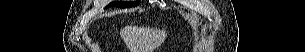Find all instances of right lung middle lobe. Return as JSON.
<instances>
[{"instance_id": "1", "label": "right lung middle lobe", "mask_w": 305, "mask_h": 52, "mask_svg": "<svg viewBox=\"0 0 305 52\" xmlns=\"http://www.w3.org/2000/svg\"><path fill=\"white\" fill-rule=\"evenodd\" d=\"M139 2H112L110 3L107 7L110 6H118V7H123V8H127V7H133L135 5H137Z\"/></svg>"}]
</instances>
